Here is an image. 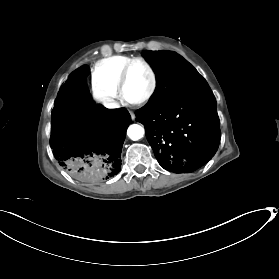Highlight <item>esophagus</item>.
Masks as SVG:
<instances>
[{
	"label": "esophagus",
	"instance_id": "esophagus-1",
	"mask_svg": "<svg viewBox=\"0 0 279 279\" xmlns=\"http://www.w3.org/2000/svg\"><path fill=\"white\" fill-rule=\"evenodd\" d=\"M130 114H131V118L135 119V115H134V113L132 111H130Z\"/></svg>",
	"mask_w": 279,
	"mask_h": 279
}]
</instances>
